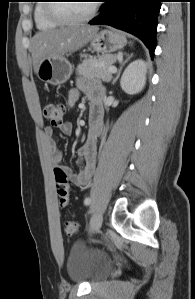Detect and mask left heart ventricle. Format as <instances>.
Segmentation results:
<instances>
[{
	"mask_svg": "<svg viewBox=\"0 0 195 299\" xmlns=\"http://www.w3.org/2000/svg\"><path fill=\"white\" fill-rule=\"evenodd\" d=\"M92 1H73L61 3L57 11L64 16L80 18L87 15L91 9Z\"/></svg>",
	"mask_w": 195,
	"mask_h": 299,
	"instance_id": "1",
	"label": "left heart ventricle"
}]
</instances>
